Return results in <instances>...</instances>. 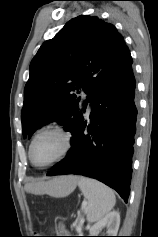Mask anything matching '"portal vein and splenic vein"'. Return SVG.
I'll return each instance as SVG.
<instances>
[{
    "label": "portal vein and splenic vein",
    "mask_w": 158,
    "mask_h": 237,
    "mask_svg": "<svg viewBox=\"0 0 158 237\" xmlns=\"http://www.w3.org/2000/svg\"><path fill=\"white\" fill-rule=\"evenodd\" d=\"M86 204H87L86 202H83V204H82V209H85ZM82 222H83V219L80 220V222H79V227H80V225H81Z\"/></svg>",
    "instance_id": "obj_1"
}]
</instances>
